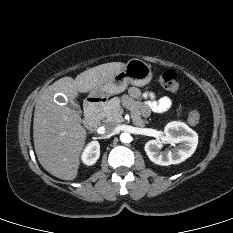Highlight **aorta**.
<instances>
[{
	"label": "aorta",
	"instance_id": "1",
	"mask_svg": "<svg viewBox=\"0 0 233 233\" xmlns=\"http://www.w3.org/2000/svg\"><path fill=\"white\" fill-rule=\"evenodd\" d=\"M120 141L122 143H129L131 141V135L129 133H122L120 135Z\"/></svg>",
	"mask_w": 233,
	"mask_h": 233
}]
</instances>
